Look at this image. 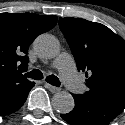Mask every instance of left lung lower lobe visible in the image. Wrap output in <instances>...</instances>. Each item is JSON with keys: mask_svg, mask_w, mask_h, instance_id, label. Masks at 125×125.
Returning <instances> with one entry per match:
<instances>
[{"mask_svg": "<svg viewBox=\"0 0 125 125\" xmlns=\"http://www.w3.org/2000/svg\"><path fill=\"white\" fill-rule=\"evenodd\" d=\"M74 109L60 116L71 125H108L125 108V101L116 98H87L72 94Z\"/></svg>", "mask_w": 125, "mask_h": 125, "instance_id": "left-lung-lower-lobe-1", "label": "left lung lower lobe"}]
</instances>
